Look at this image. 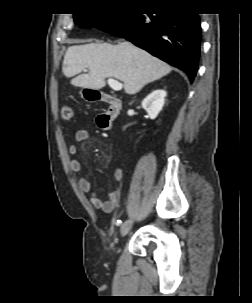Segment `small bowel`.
<instances>
[{"label":"small bowel","instance_id":"obj_1","mask_svg":"<svg viewBox=\"0 0 252 303\" xmlns=\"http://www.w3.org/2000/svg\"><path fill=\"white\" fill-rule=\"evenodd\" d=\"M98 126L102 129L106 128L105 123H98ZM89 138H90V133L88 130H79L75 133L76 142H85L89 140ZM68 152L70 156H75L78 152L77 144L76 143L71 144L68 148ZM69 166H70V170L74 174L78 175L81 172V164L77 160L71 159ZM121 177H122V170L118 169L115 172V179L117 181H120ZM77 181L81 191L89 195V201L95 208H98L106 213H110L119 206L120 191L118 189L112 190L109 193V199L107 201H104L99 196V194L93 189L92 184L84 176H78Z\"/></svg>","mask_w":252,"mask_h":303}]
</instances>
